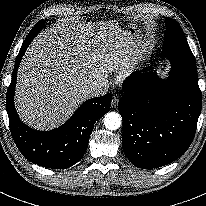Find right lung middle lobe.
Returning <instances> with one entry per match:
<instances>
[{"instance_id":"dd1d6c3e","label":"right lung middle lobe","mask_w":206,"mask_h":206,"mask_svg":"<svg viewBox=\"0 0 206 206\" xmlns=\"http://www.w3.org/2000/svg\"><path fill=\"white\" fill-rule=\"evenodd\" d=\"M44 24H45V21H44V20H41V21H39V22L35 25V27L43 28Z\"/></svg>"}]
</instances>
